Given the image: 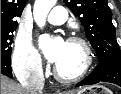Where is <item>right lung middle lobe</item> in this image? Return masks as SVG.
I'll use <instances>...</instances> for the list:
<instances>
[{"instance_id": "dd1d6c3e", "label": "right lung middle lobe", "mask_w": 121, "mask_h": 94, "mask_svg": "<svg viewBox=\"0 0 121 94\" xmlns=\"http://www.w3.org/2000/svg\"><path fill=\"white\" fill-rule=\"evenodd\" d=\"M14 30L1 31V59H10Z\"/></svg>"}]
</instances>
